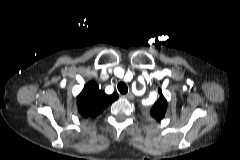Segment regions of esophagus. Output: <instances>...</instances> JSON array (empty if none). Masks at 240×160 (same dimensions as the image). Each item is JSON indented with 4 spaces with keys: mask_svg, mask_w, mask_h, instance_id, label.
<instances>
[{
    "mask_svg": "<svg viewBox=\"0 0 240 160\" xmlns=\"http://www.w3.org/2000/svg\"><path fill=\"white\" fill-rule=\"evenodd\" d=\"M124 97L129 99V100H133L134 99V95L131 92L126 94Z\"/></svg>",
    "mask_w": 240,
    "mask_h": 160,
    "instance_id": "1",
    "label": "esophagus"
}]
</instances>
